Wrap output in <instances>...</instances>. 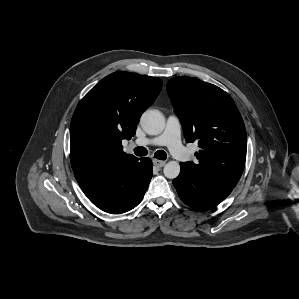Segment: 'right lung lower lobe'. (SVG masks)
I'll return each instance as SVG.
<instances>
[{"instance_id":"98d812e1","label":"right lung lower lobe","mask_w":299,"mask_h":299,"mask_svg":"<svg viewBox=\"0 0 299 299\" xmlns=\"http://www.w3.org/2000/svg\"><path fill=\"white\" fill-rule=\"evenodd\" d=\"M152 161L134 159L97 173H74L87 198L101 210L120 214L136 207L152 178Z\"/></svg>"}]
</instances>
